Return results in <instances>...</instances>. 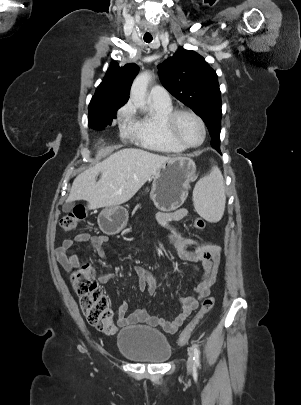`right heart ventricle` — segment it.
<instances>
[{"label":"right heart ventricle","instance_id":"e07e8e85","mask_svg":"<svg viewBox=\"0 0 301 405\" xmlns=\"http://www.w3.org/2000/svg\"><path fill=\"white\" fill-rule=\"evenodd\" d=\"M173 111L172 105L163 106L151 102V112L142 116L134 114L127 128V135L140 146L162 152L182 153L186 149L165 132L163 122Z\"/></svg>","mask_w":301,"mask_h":405}]
</instances>
